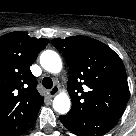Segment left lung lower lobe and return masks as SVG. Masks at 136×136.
<instances>
[{
	"label": "left lung lower lobe",
	"mask_w": 136,
	"mask_h": 136,
	"mask_svg": "<svg viewBox=\"0 0 136 136\" xmlns=\"http://www.w3.org/2000/svg\"><path fill=\"white\" fill-rule=\"evenodd\" d=\"M60 121L77 136H101L109 132L118 119L103 116L67 114L60 116Z\"/></svg>",
	"instance_id": "1"
}]
</instances>
